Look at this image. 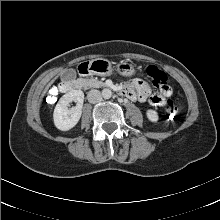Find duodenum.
I'll list each match as a JSON object with an SVG mask.
<instances>
[{
	"instance_id": "duodenum-1",
	"label": "duodenum",
	"mask_w": 220,
	"mask_h": 220,
	"mask_svg": "<svg viewBox=\"0 0 220 220\" xmlns=\"http://www.w3.org/2000/svg\"><path fill=\"white\" fill-rule=\"evenodd\" d=\"M85 70H86V69H85ZM85 70L80 69V72H81V73H84ZM74 88H75V84H74V82H72V81H65V82H63V83L61 84V86H60V89H61L62 92H70V91L74 90ZM118 93H119V95H121V96H125V97L128 96L127 91L124 90V89H120V90L118 91Z\"/></svg>"
}]
</instances>
